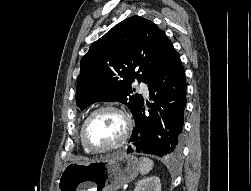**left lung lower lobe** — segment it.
<instances>
[{
  "label": "left lung lower lobe",
  "mask_w": 251,
  "mask_h": 191,
  "mask_svg": "<svg viewBox=\"0 0 251 191\" xmlns=\"http://www.w3.org/2000/svg\"><path fill=\"white\" fill-rule=\"evenodd\" d=\"M148 89L155 104L150 106V115L145 116L144 100L141 103L127 152L176 156L180 152L187 84L184 68L174 48L150 79Z\"/></svg>",
  "instance_id": "0a47b994"
}]
</instances>
